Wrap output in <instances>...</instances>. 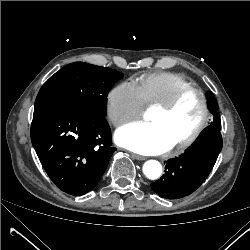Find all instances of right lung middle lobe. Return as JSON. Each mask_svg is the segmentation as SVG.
I'll return each instance as SVG.
<instances>
[{"label": "right lung middle lobe", "mask_w": 250, "mask_h": 250, "mask_svg": "<svg viewBox=\"0 0 250 250\" xmlns=\"http://www.w3.org/2000/svg\"><path fill=\"white\" fill-rule=\"evenodd\" d=\"M123 74L110 68L83 62L68 64L51 76L41 87L35 107L64 104L105 116L107 95Z\"/></svg>", "instance_id": "1"}]
</instances>
